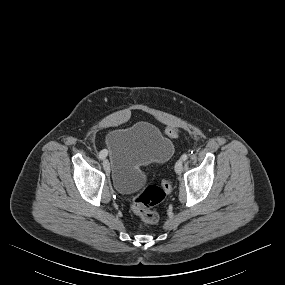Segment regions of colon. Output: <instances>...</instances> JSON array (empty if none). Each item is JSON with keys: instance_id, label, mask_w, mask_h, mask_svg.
<instances>
[{"instance_id": "5ec220e1", "label": "colon", "mask_w": 285, "mask_h": 285, "mask_svg": "<svg viewBox=\"0 0 285 285\" xmlns=\"http://www.w3.org/2000/svg\"><path fill=\"white\" fill-rule=\"evenodd\" d=\"M165 132L170 139L177 138L180 134L176 127H167ZM171 189L172 183L165 180L161 186H147L134 197L132 207L140 226L153 225L159 221V214L154 207L164 200Z\"/></svg>"}]
</instances>
